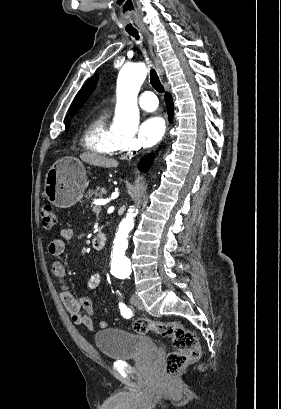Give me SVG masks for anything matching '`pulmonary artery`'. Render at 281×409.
<instances>
[{
	"label": "pulmonary artery",
	"instance_id": "obj_1",
	"mask_svg": "<svg viewBox=\"0 0 281 409\" xmlns=\"http://www.w3.org/2000/svg\"><path fill=\"white\" fill-rule=\"evenodd\" d=\"M158 102V95L153 94L151 90H144L142 92V98L139 100V105L144 110H154L157 105L154 103Z\"/></svg>",
	"mask_w": 281,
	"mask_h": 409
}]
</instances>
